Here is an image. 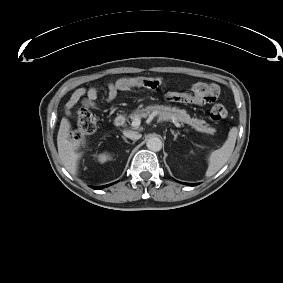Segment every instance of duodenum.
<instances>
[{
  "mask_svg": "<svg viewBox=\"0 0 283 283\" xmlns=\"http://www.w3.org/2000/svg\"><path fill=\"white\" fill-rule=\"evenodd\" d=\"M125 123V117L123 115H117L114 118V125L115 126H122Z\"/></svg>",
  "mask_w": 283,
  "mask_h": 283,
  "instance_id": "obj_1",
  "label": "duodenum"
}]
</instances>
